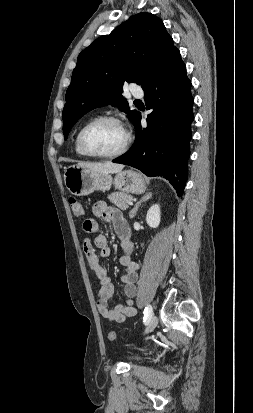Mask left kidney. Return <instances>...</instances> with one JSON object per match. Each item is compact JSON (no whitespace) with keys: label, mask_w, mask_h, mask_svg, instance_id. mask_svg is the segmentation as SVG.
<instances>
[{"label":"left kidney","mask_w":253,"mask_h":413,"mask_svg":"<svg viewBox=\"0 0 253 413\" xmlns=\"http://www.w3.org/2000/svg\"><path fill=\"white\" fill-rule=\"evenodd\" d=\"M161 212L160 206L155 204L151 206L146 215V222L151 228H157L160 224Z\"/></svg>","instance_id":"left-kidney-1"}]
</instances>
